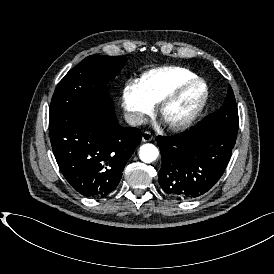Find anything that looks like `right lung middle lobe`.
Instances as JSON below:
<instances>
[{"instance_id": "obj_1", "label": "right lung middle lobe", "mask_w": 274, "mask_h": 274, "mask_svg": "<svg viewBox=\"0 0 274 274\" xmlns=\"http://www.w3.org/2000/svg\"><path fill=\"white\" fill-rule=\"evenodd\" d=\"M122 56L91 55L72 68L53 94L49 122L67 114L96 108H113L107 82L123 68Z\"/></svg>"}]
</instances>
